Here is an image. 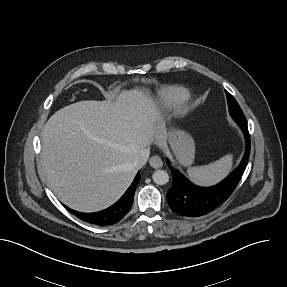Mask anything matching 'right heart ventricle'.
<instances>
[{"mask_svg":"<svg viewBox=\"0 0 287 287\" xmlns=\"http://www.w3.org/2000/svg\"><path fill=\"white\" fill-rule=\"evenodd\" d=\"M186 92L182 89H171L163 95L165 104L170 105L175 101H181L185 98Z\"/></svg>","mask_w":287,"mask_h":287,"instance_id":"right-heart-ventricle-1","label":"right heart ventricle"}]
</instances>
